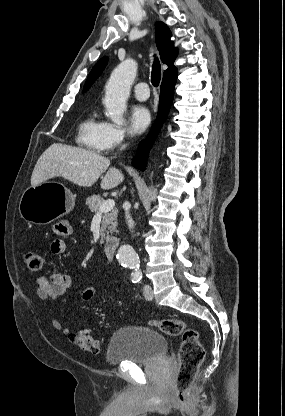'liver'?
Masks as SVG:
<instances>
[{"label": "liver", "mask_w": 285, "mask_h": 416, "mask_svg": "<svg viewBox=\"0 0 285 416\" xmlns=\"http://www.w3.org/2000/svg\"><path fill=\"white\" fill-rule=\"evenodd\" d=\"M109 166L110 160L100 154L64 144H52L40 156L31 176V186H39L51 178H65L76 186L89 188ZM123 180L124 176L120 170L109 168L100 186L102 190H112Z\"/></svg>", "instance_id": "liver-1"}]
</instances>
